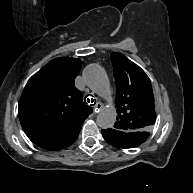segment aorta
<instances>
[{"instance_id": "1", "label": "aorta", "mask_w": 193, "mask_h": 193, "mask_svg": "<svg viewBox=\"0 0 193 193\" xmlns=\"http://www.w3.org/2000/svg\"><path fill=\"white\" fill-rule=\"evenodd\" d=\"M87 86L97 95L108 99L111 97L110 82L105 70L98 64L88 65L83 72ZM116 109L113 106L102 109L96 119L102 129L113 127L116 121Z\"/></svg>"}]
</instances>
